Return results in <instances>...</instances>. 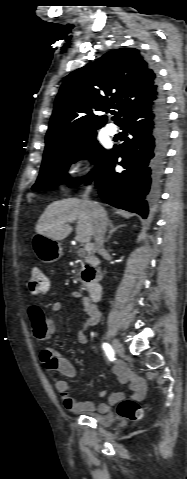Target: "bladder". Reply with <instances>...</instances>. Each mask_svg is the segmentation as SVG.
I'll return each instance as SVG.
<instances>
[{
	"mask_svg": "<svg viewBox=\"0 0 187 479\" xmlns=\"http://www.w3.org/2000/svg\"><path fill=\"white\" fill-rule=\"evenodd\" d=\"M88 417L94 419L98 424L102 426H110L113 423V419L106 416V415H100V414H88Z\"/></svg>",
	"mask_w": 187,
	"mask_h": 479,
	"instance_id": "1",
	"label": "bladder"
}]
</instances>
